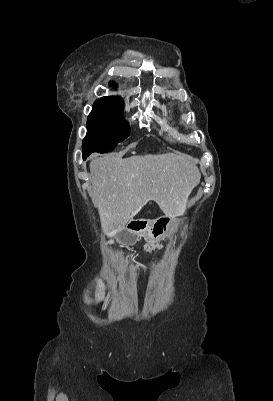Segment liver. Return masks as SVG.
<instances>
[{
    "label": "liver",
    "instance_id": "obj_1",
    "mask_svg": "<svg viewBox=\"0 0 273 401\" xmlns=\"http://www.w3.org/2000/svg\"><path fill=\"white\" fill-rule=\"evenodd\" d=\"M104 154L90 162L89 194L97 207L104 235L115 237L141 211L155 201L165 217L186 211L189 194L201 172L189 154Z\"/></svg>",
    "mask_w": 273,
    "mask_h": 401
}]
</instances>
